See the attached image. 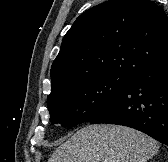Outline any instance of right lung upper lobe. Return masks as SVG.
<instances>
[{
  "instance_id": "1",
  "label": "right lung upper lobe",
  "mask_w": 168,
  "mask_h": 162,
  "mask_svg": "<svg viewBox=\"0 0 168 162\" xmlns=\"http://www.w3.org/2000/svg\"><path fill=\"white\" fill-rule=\"evenodd\" d=\"M168 61V18L151 0H109L82 13L51 66V92L106 74L133 77Z\"/></svg>"
}]
</instances>
